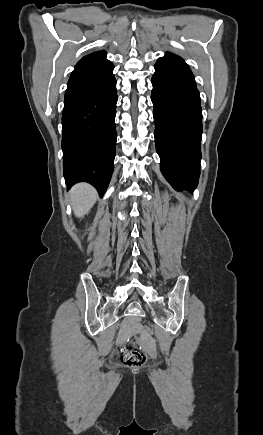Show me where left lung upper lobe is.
Returning a JSON list of instances; mask_svg holds the SVG:
<instances>
[{
	"label": "left lung upper lobe",
	"instance_id": "left-lung-upper-lobe-1",
	"mask_svg": "<svg viewBox=\"0 0 263 435\" xmlns=\"http://www.w3.org/2000/svg\"><path fill=\"white\" fill-rule=\"evenodd\" d=\"M162 58L166 59V60H169V61H172V62H175V63H179V64L187 66V64L184 62V60L181 57H179V56H177V55H175L173 53H166V55L164 57H162Z\"/></svg>",
	"mask_w": 263,
	"mask_h": 435
}]
</instances>
